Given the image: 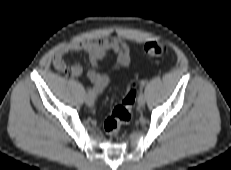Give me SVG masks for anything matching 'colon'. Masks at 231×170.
<instances>
[{"mask_svg":"<svg viewBox=\"0 0 231 170\" xmlns=\"http://www.w3.org/2000/svg\"><path fill=\"white\" fill-rule=\"evenodd\" d=\"M144 51L150 56L161 57L167 54V47L161 42L149 41L145 43ZM136 94V84L130 82L122 103L116 106L104 121L103 126L107 134L116 137L119 134L121 126L131 120Z\"/></svg>","mask_w":231,"mask_h":170,"instance_id":"colon-1","label":"colon"}]
</instances>
